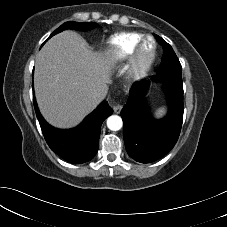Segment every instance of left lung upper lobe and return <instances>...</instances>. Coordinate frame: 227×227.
Here are the masks:
<instances>
[{
	"instance_id": "5c2ea615",
	"label": "left lung upper lobe",
	"mask_w": 227,
	"mask_h": 227,
	"mask_svg": "<svg viewBox=\"0 0 227 227\" xmlns=\"http://www.w3.org/2000/svg\"><path fill=\"white\" fill-rule=\"evenodd\" d=\"M155 36L159 43L163 46V56L158 73H173L175 75H182L181 64L172 47L158 35Z\"/></svg>"
}]
</instances>
